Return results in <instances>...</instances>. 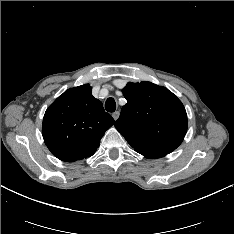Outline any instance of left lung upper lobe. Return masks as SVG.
<instances>
[{
    "label": "left lung upper lobe",
    "mask_w": 234,
    "mask_h": 234,
    "mask_svg": "<svg viewBox=\"0 0 234 234\" xmlns=\"http://www.w3.org/2000/svg\"><path fill=\"white\" fill-rule=\"evenodd\" d=\"M122 92L127 104L115 127L127 142L140 153L174 151L187 131L181 101L167 88L146 81L129 82Z\"/></svg>",
    "instance_id": "1"
}]
</instances>
